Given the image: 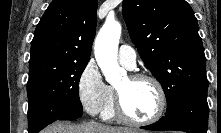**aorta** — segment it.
<instances>
[{
    "label": "aorta",
    "instance_id": "obj_1",
    "mask_svg": "<svg viewBox=\"0 0 221 133\" xmlns=\"http://www.w3.org/2000/svg\"><path fill=\"white\" fill-rule=\"evenodd\" d=\"M121 25L117 21L107 20L95 40V58L107 82L114 84L121 80L126 72L117 62Z\"/></svg>",
    "mask_w": 221,
    "mask_h": 133
}]
</instances>
